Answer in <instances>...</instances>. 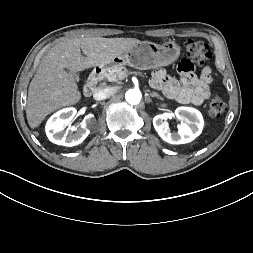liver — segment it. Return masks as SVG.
I'll list each match as a JSON object with an SVG mask.
<instances>
[{
	"instance_id": "obj_1",
	"label": "liver",
	"mask_w": 253,
	"mask_h": 253,
	"mask_svg": "<svg viewBox=\"0 0 253 253\" xmlns=\"http://www.w3.org/2000/svg\"><path fill=\"white\" fill-rule=\"evenodd\" d=\"M139 43L135 38L85 37L63 39L55 44L42 59L29 85L26 106L29 126L36 128L48 114L80 101L76 80L65 69L76 73L107 66Z\"/></svg>"
}]
</instances>
